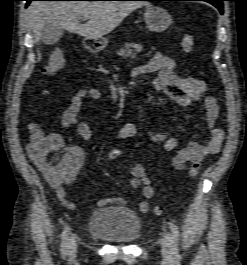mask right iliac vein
<instances>
[{
  "label": "right iliac vein",
  "mask_w": 247,
  "mask_h": 265,
  "mask_svg": "<svg viewBox=\"0 0 247 265\" xmlns=\"http://www.w3.org/2000/svg\"><path fill=\"white\" fill-rule=\"evenodd\" d=\"M68 255L70 259H74L76 257L77 253V243L75 237L72 235L68 241Z\"/></svg>",
  "instance_id": "63e3f726"
}]
</instances>
